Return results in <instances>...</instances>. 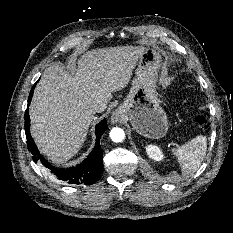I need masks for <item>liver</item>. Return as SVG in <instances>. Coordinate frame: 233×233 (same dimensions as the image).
Listing matches in <instances>:
<instances>
[{
    "label": "liver",
    "mask_w": 233,
    "mask_h": 233,
    "mask_svg": "<svg viewBox=\"0 0 233 233\" xmlns=\"http://www.w3.org/2000/svg\"><path fill=\"white\" fill-rule=\"evenodd\" d=\"M143 47L90 50L77 61L74 75L63 66L45 69L29 109L31 134L41 152L62 164L82 147L96 112H103L112 93L126 87Z\"/></svg>",
    "instance_id": "1"
}]
</instances>
